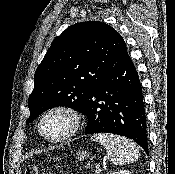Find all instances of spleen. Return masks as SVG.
<instances>
[{
  "mask_svg": "<svg viewBox=\"0 0 175 174\" xmlns=\"http://www.w3.org/2000/svg\"><path fill=\"white\" fill-rule=\"evenodd\" d=\"M93 141L101 143L114 165H125L138 160L140 151L131 140L107 133H97L92 136Z\"/></svg>",
  "mask_w": 175,
  "mask_h": 174,
  "instance_id": "3e777b00",
  "label": "spleen"
}]
</instances>
